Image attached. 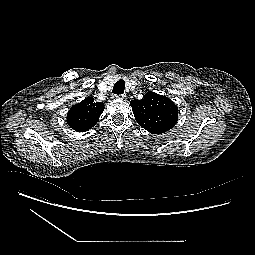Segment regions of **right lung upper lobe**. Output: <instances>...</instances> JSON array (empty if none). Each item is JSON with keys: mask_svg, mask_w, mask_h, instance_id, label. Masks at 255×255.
Masks as SVG:
<instances>
[{"mask_svg": "<svg viewBox=\"0 0 255 255\" xmlns=\"http://www.w3.org/2000/svg\"><path fill=\"white\" fill-rule=\"evenodd\" d=\"M103 110V103L94 102V98L87 97L70 108L67 123L75 131L85 132L98 122Z\"/></svg>", "mask_w": 255, "mask_h": 255, "instance_id": "obj_1", "label": "right lung upper lobe"}]
</instances>
